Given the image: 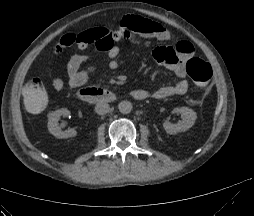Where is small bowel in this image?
Listing matches in <instances>:
<instances>
[{
    "instance_id": "small-bowel-1",
    "label": "small bowel",
    "mask_w": 254,
    "mask_h": 216,
    "mask_svg": "<svg viewBox=\"0 0 254 216\" xmlns=\"http://www.w3.org/2000/svg\"><path fill=\"white\" fill-rule=\"evenodd\" d=\"M134 35L160 41H170L172 39L171 33L163 25L142 17H128L123 19L119 30L113 32L111 35L113 42L105 48L99 45L86 44L79 40V33L72 32L62 36L54 51L55 57H58L65 48L72 45H76L80 49H87L92 46L91 52L75 54L69 59L67 63L68 85L72 88H78L88 81L94 71V67L90 65L84 66V64L91 58L93 53L104 51L106 65L109 69L116 70L119 67L117 58L119 48L114 42H118L124 38H131ZM169 49L172 51V54L166 52ZM193 52L192 44L188 41L181 40L174 47L157 48L153 52V58L158 64L166 66L176 76L183 78L186 75V63L193 56ZM52 86L56 92H61L65 87V81L61 77L55 76L52 81ZM188 87V82L185 79H181L173 85L162 86L153 91L145 89H135L134 91L139 95L138 100H143L148 97L164 99L171 96L184 95L188 91Z\"/></svg>"
}]
</instances>
